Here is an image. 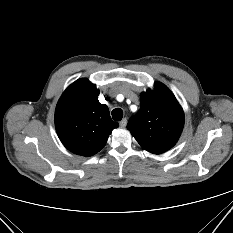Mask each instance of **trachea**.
I'll use <instances>...</instances> for the list:
<instances>
[{"mask_svg":"<svg viewBox=\"0 0 233 233\" xmlns=\"http://www.w3.org/2000/svg\"><path fill=\"white\" fill-rule=\"evenodd\" d=\"M112 117L114 121H120L123 117V111L120 108H116L112 111Z\"/></svg>","mask_w":233,"mask_h":233,"instance_id":"obj_1","label":"trachea"}]
</instances>
